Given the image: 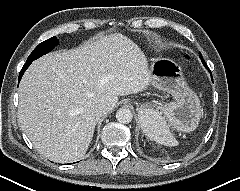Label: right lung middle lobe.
Returning a JSON list of instances; mask_svg holds the SVG:
<instances>
[{
    "instance_id": "obj_1",
    "label": "right lung middle lobe",
    "mask_w": 240,
    "mask_h": 191,
    "mask_svg": "<svg viewBox=\"0 0 240 191\" xmlns=\"http://www.w3.org/2000/svg\"><path fill=\"white\" fill-rule=\"evenodd\" d=\"M59 40L56 36L40 43L29 55L26 62H32L35 59L41 57L42 55L50 52L56 45H58Z\"/></svg>"
}]
</instances>
